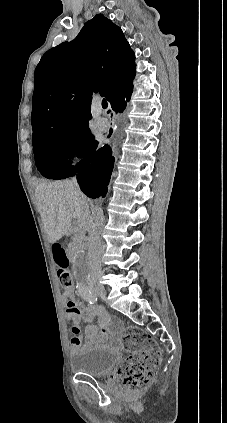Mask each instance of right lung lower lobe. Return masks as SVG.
<instances>
[{
    "mask_svg": "<svg viewBox=\"0 0 227 423\" xmlns=\"http://www.w3.org/2000/svg\"><path fill=\"white\" fill-rule=\"evenodd\" d=\"M129 99L130 97H127L124 101L113 106V110L116 113H122ZM82 157L83 159L76 164L74 172L80 173L78 183L82 192L90 198L105 197L114 166L112 147L105 145L99 148L98 142L93 139Z\"/></svg>",
    "mask_w": 227,
    "mask_h": 423,
    "instance_id": "1",
    "label": "right lung lower lobe"
}]
</instances>
